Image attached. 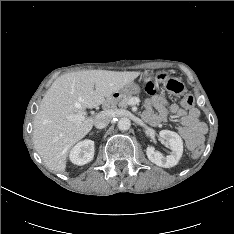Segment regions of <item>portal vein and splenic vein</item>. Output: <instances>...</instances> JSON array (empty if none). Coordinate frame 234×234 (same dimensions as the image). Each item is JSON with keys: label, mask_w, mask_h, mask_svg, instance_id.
<instances>
[{"label": "portal vein and splenic vein", "mask_w": 234, "mask_h": 234, "mask_svg": "<svg viewBox=\"0 0 234 234\" xmlns=\"http://www.w3.org/2000/svg\"><path fill=\"white\" fill-rule=\"evenodd\" d=\"M67 118L73 122H76L77 124H80L82 121L85 120L86 116L85 114H71L68 115Z\"/></svg>", "instance_id": "portal-vein-and-splenic-vein-1"}]
</instances>
